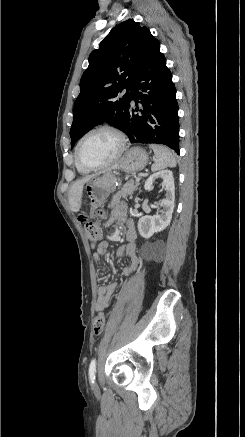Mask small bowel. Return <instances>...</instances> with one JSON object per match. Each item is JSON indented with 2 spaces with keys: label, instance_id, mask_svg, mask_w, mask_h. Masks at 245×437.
Here are the masks:
<instances>
[{
  "label": "small bowel",
  "instance_id": "obj_1",
  "mask_svg": "<svg viewBox=\"0 0 245 437\" xmlns=\"http://www.w3.org/2000/svg\"><path fill=\"white\" fill-rule=\"evenodd\" d=\"M79 218L78 221L81 224H86L88 222L87 211L84 208H81L78 211ZM126 221V239L127 244L122 245L117 249V256L122 257L126 255L129 258V264L123 268V274L128 276L131 275L139 264V258L136 252V239L137 234L135 230L134 223L126 218V208L124 205L116 208L110 218V222H121ZM107 248V242H101L96 252L93 255V261L96 265L100 264L101 256L104 255ZM116 289L115 283H109L107 285L100 286L98 289V297L96 301L95 308L97 311H102L106 309L111 302V296Z\"/></svg>",
  "mask_w": 245,
  "mask_h": 437
}]
</instances>
